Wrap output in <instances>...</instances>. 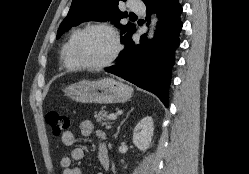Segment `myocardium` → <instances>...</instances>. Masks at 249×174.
<instances>
[{
	"instance_id": "obj_1",
	"label": "myocardium",
	"mask_w": 249,
	"mask_h": 174,
	"mask_svg": "<svg viewBox=\"0 0 249 174\" xmlns=\"http://www.w3.org/2000/svg\"><path fill=\"white\" fill-rule=\"evenodd\" d=\"M93 30H104L108 32L111 35L113 39V43H114V49L111 55L109 56V58L98 64L86 63L79 56V46H80L81 41L90 31H93ZM120 51H121V41H120L119 34L112 25L107 24V23H95V24H91L85 27L80 32V34L77 36L74 42V45H73V49H72L73 57L77 65L80 68H84L88 70H99V69H103V68L110 66L117 59Z\"/></svg>"
}]
</instances>
